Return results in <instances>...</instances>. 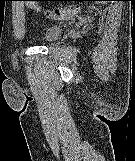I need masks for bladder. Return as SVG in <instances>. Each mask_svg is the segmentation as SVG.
Returning a JSON list of instances; mask_svg holds the SVG:
<instances>
[{"instance_id": "1", "label": "bladder", "mask_w": 135, "mask_h": 161, "mask_svg": "<svg viewBox=\"0 0 135 161\" xmlns=\"http://www.w3.org/2000/svg\"><path fill=\"white\" fill-rule=\"evenodd\" d=\"M63 32V27L60 25L49 26L43 34L44 43H52L57 40Z\"/></svg>"}]
</instances>
